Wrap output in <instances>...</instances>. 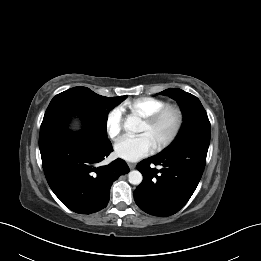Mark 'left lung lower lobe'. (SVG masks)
<instances>
[{
	"instance_id": "left-lung-lower-lobe-1",
	"label": "left lung lower lobe",
	"mask_w": 261,
	"mask_h": 261,
	"mask_svg": "<svg viewBox=\"0 0 261 261\" xmlns=\"http://www.w3.org/2000/svg\"><path fill=\"white\" fill-rule=\"evenodd\" d=\"M208 147L201 143L185 144L138 163L137 169L143 175V182L134 191L138 207L160 217L178 212L201 179Z\"/></svg>"
}]
</instances>
